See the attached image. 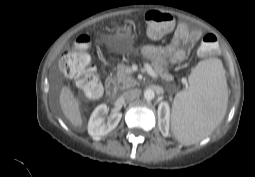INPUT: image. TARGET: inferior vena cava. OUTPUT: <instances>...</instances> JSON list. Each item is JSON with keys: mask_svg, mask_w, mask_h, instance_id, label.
<instances>
[{"mask_svg": "<svg viewBox=\"0 0 255 177\" xmlns=\"http://www.w3.org/2000/svg\"><path fill=\"white\" fill-rule=\"evenodd\" d=\"M141 91L139 89H129L123 93V98L126 101H132L140 96Z\"/></svg>", "mask_w": 255, "mask_h": 177, "instance_id": "1", "label": "inferior vena cava"}]
</instances>
